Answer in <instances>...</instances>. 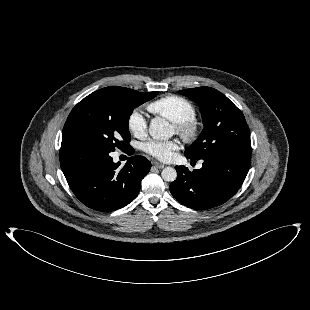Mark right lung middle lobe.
Here are the masks:
<instances>
[{
	"label": "right lung middle lobe",
	"mask_w": 310,
	"mask_h": 310,
	"mask_svg": "<svg viewBox=\"0 0 310 310\" xmlns=\"http://www.w3.org/2000/svg\"><path fill=\"white\" fill-rule=\"evenodd\" d=\"M158 92L140 93L121 87L102 88L81 100L69 114L61 147L98 146L115 150L129 147V117L133 109Z\"/></svg>",
	"instance_id": "1"
}]
</instances>
